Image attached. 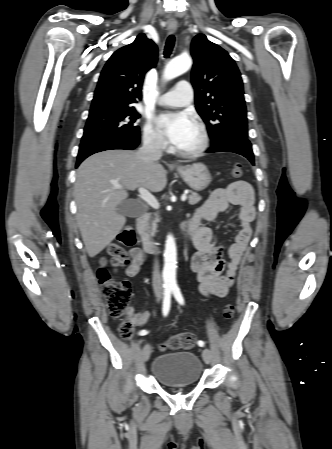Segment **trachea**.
Returning a JSON list of instances; mask_svg holds the SVG:
<instances>
[{
  "label": "trachea",
  "mask_w": 332,
  "mask_h": 449,
  "mask_svg": "<svg viewBox=\"0 0 332 449\" xmlns=\"http://www.w3.org/2000/svg\"><path fill=\"white\" fill-rule=\"evenodd\" d=\"M174 44H175V37L174 35H170L167 40H166V44H165V49H164V57L168 58L171 53L172 50L174 48Z\"/></svg>",
  "instance_id": "obj_1"
}]
</instances>
